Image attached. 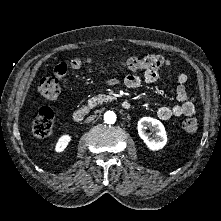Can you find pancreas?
I'll return each mask as SVG.
<instances>
[{
    "instance_id": "obj_1",
    "label": "pancreas",
    "mask_w": 221,
    "mask_h": 221,
    "mask_svg": "<svg viewBox=\"0 0 221 221\" xmlns=\"http://www.w3.org/2000/svg\"><path fill=\"white\" fill-rule=\"evenodd\" d=\"M113 98L114 97L110 95L99 94L88 100V106L89 108H94L97 104H103L104 102H108L112 100Z\"/></svg>"
}]
</instances>
